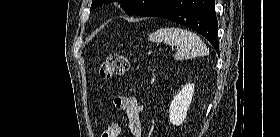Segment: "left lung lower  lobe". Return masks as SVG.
<instances>
[{
	"instance_id": "1",
	"label": "left lung lower lobe",
	"mask_w": 280,
	"mask_h": 137,
	"mask_svg": "<svg viewBox=\"0 0 280 137\" xmlns=\"http://www.w3.org/2000/svg\"><path fill=\"white\" fill-rule=\"evenodd\" d=\"M214 7V0H161L143 16L162 17L190 27L203 35L219 52L218 21Z\"/></svg>"
}]
</instances>
